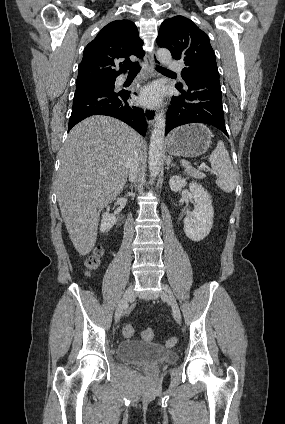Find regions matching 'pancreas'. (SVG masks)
<instances>
[{
	"instance_id": "1",
	"label": "pancreas",
	"mask_w": 285,
	"mask_h": 424,
	"mask_svg": "<svg viewBox=\"0 0 285 424\" xmlns=\"http://www.w3.org/2000/svg\"><path fill=\"white\" fill-rule=\"evenodd\" d=\"M185 172L186 174L197 179H203L205 177L204 173L200 172L197 169L192 168L191 166H186Z\"/></svg>"
}]
</instances>
